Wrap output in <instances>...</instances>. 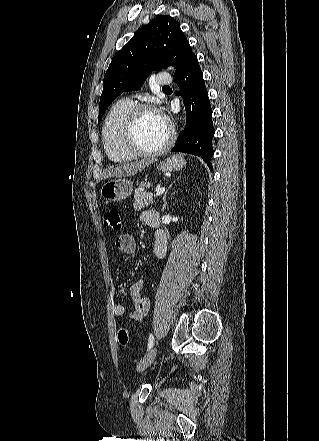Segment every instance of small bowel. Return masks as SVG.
<instances>
[{
  "mask_svg": "<svg viewBox=\"0 0 319 441\" xmlns=\"http://www.w3.org/2000/svg\"><path fill=\"white\" fill-rule=\"evenodd\" d=\"M141 221L155 229L154 253L158 258H163L167 251V237L165 232L159 228V214L153 210L144 211L141 214ZM117 249L125 255L134 256L137 250V244L134 237L130 234H122L116 239ZM116 284L112 285V292L117 290ZM131 295L134 309L129 312L125 305L117 303L113 307L114 314L117 317L128 316L131 320L141 322L147 315L150 307V300L141 296L142 282L136 281L125 287Z\"/></svg>",
  "mask_w": 319,
  "mask_h": 441,
  "instance_id": "1",
  "label": "small bowel"
}]
</instances>
